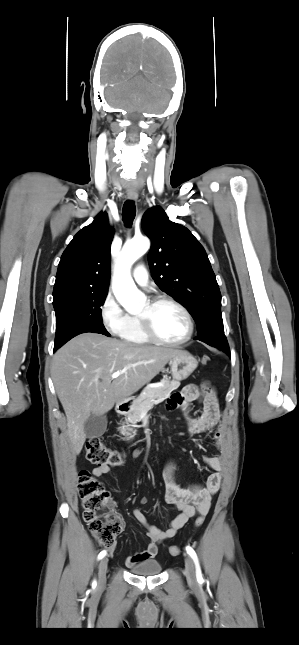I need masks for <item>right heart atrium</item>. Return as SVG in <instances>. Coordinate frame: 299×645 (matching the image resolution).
I'll return each instance as SVG.
<instances>
[{
	"mask_svg": "<svg viewBox=\"0 0 299 645\" xmlns=\"http://www.w3.org/2000/svg\"><path fill=\"white\" fill-rule=\"evenodd\" d=\"M100 318L104 329L113 336H121L128 323V315L111 292L100 305Z\"/></svg>",
	"mask_w": 299,
	"mask_h": 645,
	"instance_id": "d8ad5b80",
	"label": "right heart atrium"
}]
</instances>
